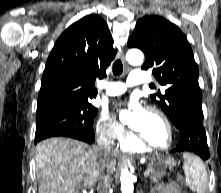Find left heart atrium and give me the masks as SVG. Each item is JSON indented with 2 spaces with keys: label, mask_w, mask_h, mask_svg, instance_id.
Returning <instances> with one entry per match:
<instances>
[{
  "label": "left heart atrium",
  "mask_w": 221,
  "mask_h": 193,
  "mask_svg": "<svg viewBox=\"0 0 221 193\" xmlns=\"http://www.w3.org/2000/svg\"><path fill=\"white\" fill-rule=\"evenodd\" d=\"M127 106L133 111L135 119H140L146 111L136 98H131Z\"/></svg>",
  "instance_id": "39dd6f15"
}]
</instances>
